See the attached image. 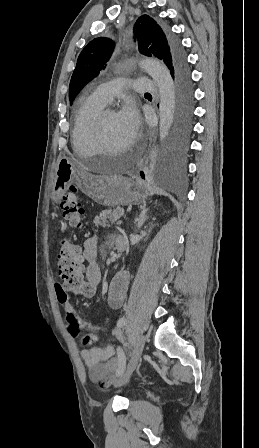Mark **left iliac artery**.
Wrapping results in <instances>:
<instances>
[{
    "label": "left iliac artery",
    "instance_id": "obj_1",
    "mask_svg": "<svg viewBox=\"0 0 259 448\" xmlns=\"http://www.w3.org/2000/svg\"><path fill=\"white\" fill-rule=\"evenodd\" d=\"M125 324H126V318L121 317V318L118 320V322H117V327H118V328H121V327H123ZM117 354H118V357H119L121 360H125V354H124V352H123V349H122L120 346L117 347ZM122 374H123V370H120V371L117 372V375H118V376H121Z\"/></svg>",
    "mask_w": 259,
    "mask_h": 448
}]
</instances>
